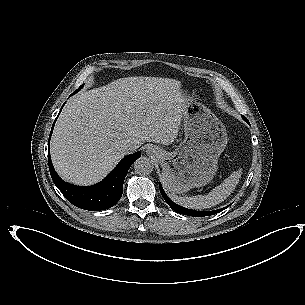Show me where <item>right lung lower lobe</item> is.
<instances>
[{
	"instance_id": "98d812e1",
	"label": "right lung lower lobe",
	"mask_w": 305,
	"mask_h": 305,
	"mask_svg": "<svg viewBox=\"0 0 305 305\" xmlns=\"http://www.w3.org/2000/svg\"><path fill=\"white\" fill-rule=\"evenodd\" d=\"M75 93V92H74ZM55 124V121H54ZM49 136L48 145L50 143L51 134ZM141 156L140 152L130 154L124 157L112 172L101 182L87 187H79L64 182L55 172L48 148V162L53 182L61 191V193L73 205L89 211H100L114 206L122 196L123 182L130 166Z\"/></svg>"
}]
</instances>
